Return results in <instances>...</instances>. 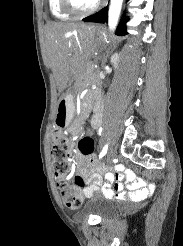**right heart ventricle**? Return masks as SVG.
Wrapping results in <instances>:
<instances>
[{"label": "right heart ventricle", "mask_w": 183, "mask_h": 246, "mask_svg": "<svg viewBox=\"0 0 183 246\" xmlns=\"http://www.w3.org/2000/svg\"><path fill=\"white\" fill-rule=\"evenodd\" d=\"M49 9L53 17L61 20H66L72 16L65 12L62 8L60 0H49Z\"/></svg>", "instance_id": "obj_1"}]
</instances>
